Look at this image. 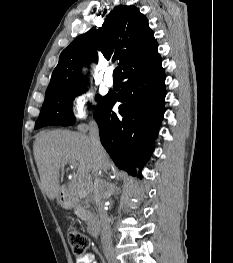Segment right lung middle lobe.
I'll list each match as a JSON object with an SVG mask.
<instances>
[{"instance_id": "right-lung-middle-lobe-1", "label": "right lung middle lobe", "mask_w": 233, "mask_h": 263, "mask_svg": "<svg viewBox=\"0 0 233 263\" xmlns=\"http://www.w3.org/2000/svg\"><path fill=\"white\" fill-rule=\"evenodd\" d=\"M84 92V87L64 90L45 97L35 129L48 125L68 126L75 122L71 106L74 98ZM104 99L97 97L99 103Z\"/></svg>"}]
</instances>
